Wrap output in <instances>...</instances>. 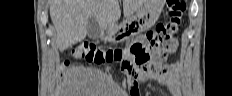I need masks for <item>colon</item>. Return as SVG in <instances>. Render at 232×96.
<instances>
[{
  "label": "colon",
  "instance_id": "5ec220e1",
  "mask_svg": "<svg viewBox=\"0 0 232 96\" xmlns=\"http://www.w3.org/2000/svg\"><path fill=\"white\" fill-rule=\"evenodd\" d=\"M185 2L183 0H167L166 20L159 23L155 30L148 33L144 45L134 44L124 50L118 48H101L91 42L80 43L72 52L78 59L95 64L116 63L137 77L144 72H160L161 65L171 49L168 47L174 40L183 18ZM156 63L150 62V55Z\"/></svg>",
  "mask_w": 232,
  "mask_h": 96
}]
</instances>
